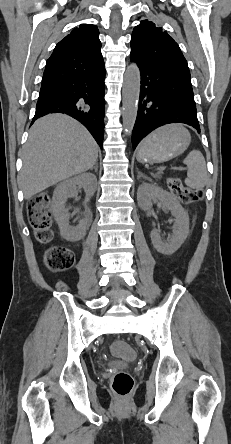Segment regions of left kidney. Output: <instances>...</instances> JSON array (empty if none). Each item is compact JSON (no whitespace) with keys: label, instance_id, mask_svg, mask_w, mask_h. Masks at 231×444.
Instances as JSON below:
<instances>
[{"label":"left kidney","instance_id":"obj_1","mask_svg":"<svg viewBox=\"0 0 231 444\" xmlns=\"http://www.w3.org/2000/svg\"><path fill=\"white\" fill-rule=\"evenodd\" d=\"M139 206L148 211L152 208V202L159 200L164 211H170L175 218L173 235L167 240H162L159 232L153 229L151 240L154 248L161 254L171 255L177 251L189 234V216L179 201L169 192L159 186L143 183L137 191Z\"/></svg>","mask_w":231,"mask_h":444}]
</instances>
